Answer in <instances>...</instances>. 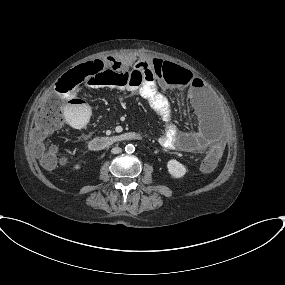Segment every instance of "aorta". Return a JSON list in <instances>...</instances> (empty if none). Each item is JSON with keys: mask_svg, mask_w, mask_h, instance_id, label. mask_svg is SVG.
Wrapping results in <instances>:
<instances>
[{"mask_svg": "<svg viewBox=\"0 0 285 285\" xmlns=\"http://www.w3.org/2000/svg\"><path fill=\"white\" fill-rule=\"evenodd\" d=\"M125 151L127 153H133L135 151V146L133 144H127L125 146Z\"/></svg>", "mask_w": 285, "mask_h": 285, "instance_id": "aorta-1", "label": "aorta"}]
</instances>
